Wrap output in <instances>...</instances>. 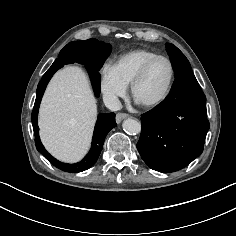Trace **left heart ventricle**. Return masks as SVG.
<instances>
[{
	"label": "left heart ventricle",
	"mask_w": 236,
	"mask_h": 236,
	"mask_svg": "<svg viewBox=\"0 0 236 236\" xmlns=\"http://www.w3.org/2000/svg\"><path fill=\"white\" fill-rule=\"evenodd\" d=\"M170 79V67L165 60L156 61L136 90L139 102L158 99L165 92Z\"/></svg>",
	"instance_id": "left-heart-ventricle-1"
}]
</instances>
